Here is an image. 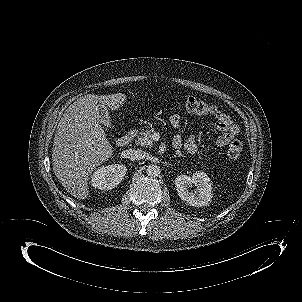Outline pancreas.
<instances>
[{"label":"pancreas","instance_id":"cf45deb5","mask_svg":"<svg viewBox=\"0 0 302 302\" xmlns=\"http://www.w3.org/2000/svg\"><path fill=\"white\" fill-rule=\"evenodd\" d=\"M153 130H143L137 136V142L143 146H152V136Z\"/></svg>","mask_w":302,"mask_h":302}]
</instances>
